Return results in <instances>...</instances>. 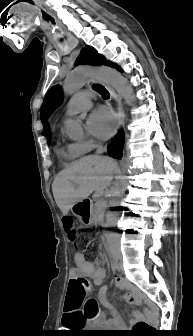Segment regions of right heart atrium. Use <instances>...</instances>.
<instances>
[{
  "label": "right heart atrium",
  "instance_id": "right-heart-atrium-1",
  "mask_svg": "<svg viewBox=\"0 0 193 336\" xmlns=\"http://www.w3.org/2000/svg\"><path fill=\"white\" fill-rule=\"evenodd\" d=\"M77 143L79 144V146L81 147V149L84 153L89 152L95 146V142L91 139L84 140V141L77 142Z\"/></svg>",
  "mask_w": 193,
  "mask_h": 336
}]
</instances>
